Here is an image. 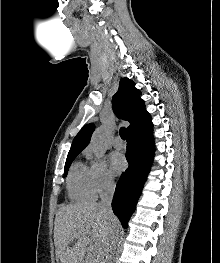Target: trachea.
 <instances>
[{
  "instance_id": "obj_1",
  "label": "trachea",
  "mask_w": 220,
  "mask_h": 263,
  "mask_svg": "<svg viewBox=\"0 0 220 263\" xmlns=\"http://www.w3.org/2000/svg\"><path fill=\"white\" fill-rule=\"evenodd\" d=\"M119 133H120L121 138L125 140L126 139V128L121 127Z\"/></svg>"
}]
</instances>
